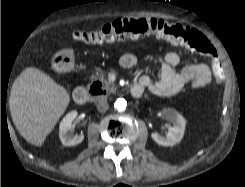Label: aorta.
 Returning <instances> with one entry per match:
<instances>
[{
	"instance_id": "obj_1",
	"label": "aorta",
	"mask_w": 245,
	"mask_h": 187,
	"mask_svg": "<svg viewBox=\"0 0 245 187\" xmlns=\"http://www.w3.org/2000/svg\"><path fill=\"white\" fill-rule=\"evenodd\" d=\"M126 106H127V102L125 99L123 98H120V99H117L115 104H114V107L119 111V112H122L126 109Z\"/></svg>"
}]
</instances>
